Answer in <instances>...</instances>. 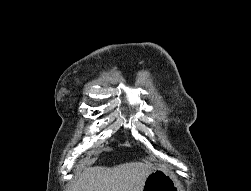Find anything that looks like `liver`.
I'll return each mask as SVG.
<instances>
[{"label":"liver","instance_id":"obj_1","mask_svg":"<svg viewBox=\"0 0 251 191\" xmlns=\"http://www.w3.org/2000/svg\"><path fill=\"white\" fill-rule=\"evenodd\" d=\"M154 169L148 161H130L114 167H86L75 179L71 191H143L144 181Z\"/></svg>","mask_w":251,"mask_h":191}]
</instances>
